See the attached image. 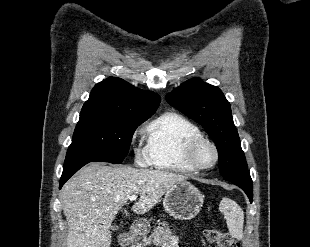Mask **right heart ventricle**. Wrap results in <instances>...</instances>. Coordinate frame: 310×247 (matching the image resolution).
Masks as SVG:
<instances>
[{
  "instance_id": "1",
  "label": "right heart ventricle",
  "mask_w": 310,
  "mask_h": 247,
  "mask_svg": "<svg viewBox=\"0 0 310 247\" xmlns=\"http://www.w3.org/2000/svg\"><path fill=\"white\" fill-rule=\"evenodd\" d=\"M201 135L193 122L176 112L157 116L145 129V150L149 163L157 169L194 172L185 161L184 150L190 139Z\"/></svg>"
}]
</instances>
